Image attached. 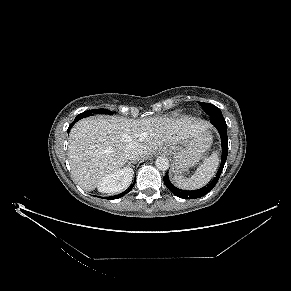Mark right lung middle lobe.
<instances>
[{
  "label": "right lung middle lobe",
  "instance_id": "obj_1",
  "mask_svg": "<svg viewBox=\"0 0 291 291\" xmlns=\"http://www.w3.org/2000/svg\"><path fill=\"white\" fill-rule=\"evenodd\" d=\"M93 113H105V114H106V113H111V111L106 110V109H94V110H88V111H85V112L79 114V115L75 118V120H79V119H81V118H83V117H86V116H88V115H92Z\"/></svg>",
  "mask_w": 291,
  "mask_h": 291
}]
</instances>
